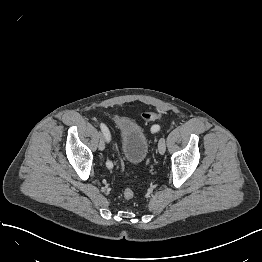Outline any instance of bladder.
Instances as JSON below:
<instances>
[{
	"instance_id": "1",
	"label": "bladder",
	"mask_w": 262,
	"mask_h": 262,
	"mask_svg": "<svg viewBox=\"0 0 262 262\" xmlns=\"http://www.w3.org/2000/svg\"><path fill=\"white\" fill-rule=\"evenodd\" d=\"M115 121L125 161L130 165L140 164L149 151V140L144 129L126 116H118Z\"/></svg>"
}]
</instances>
